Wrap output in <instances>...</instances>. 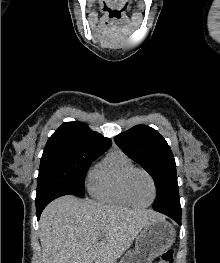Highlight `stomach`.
Listing matches in <instances>:
<instances>
[{
    "label": "stomach",
    "instance_id": "1",
    "mask_svg": "<svg viewBox=\"0 0 220 263\" xmlns=\"http://www.w3.org/2000/svg\"><path fill=\"white\" fill-rule=\"evenodd\" d=\"M175 240V229L165 218L151 222L140 232L135 249L126 252L120 263H152L170 248Z\"/></svg>",
    "mask_w": 220,
    "mask_h": 263
}]
</instances>
